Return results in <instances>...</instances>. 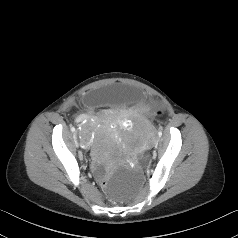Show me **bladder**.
Here are the masks:
<instances>
[{"mask_svg": "<svg viewBox=\"0 0 238 238\" xmlns=\"http://www.w3.org/2000/svg\"><path fill=\"white\" fill-rule=\"evenodd\" d=\"M141 98V91L133 86L111 85L105 90L98 89L88 93L85 102L90 107L102 105L115 110H123L137 104Z\"/></svg>", "mask_w": 238, "mask_h": 238, "instance_id": "1", "label": "bladder"}]
</instances>
